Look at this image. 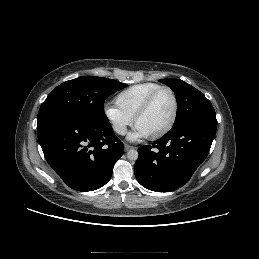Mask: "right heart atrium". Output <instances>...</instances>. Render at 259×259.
Returning <instances> with one entry per match:
<instances>
[{
    "label": "right heart atrium",
    "mask_w": 259,
    "mask_h": 259,
    "mask_svg": "<svg viewBox=\"0 0 259 259\" xmlns=\"http://www.w3.org/2000/svg\"><path fill=\"white\" fill-rule=\"evenodd\" d=\"M103 114L117 135H124L128 127L132 124V118L114 105L106 104L103 108Z\"/></svg>",
    "instance_id": "d8ad5b80"
}]
</instances>
